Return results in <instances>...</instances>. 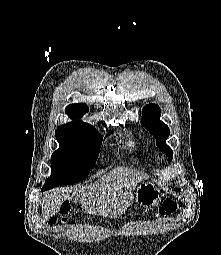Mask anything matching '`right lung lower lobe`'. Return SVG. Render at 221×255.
<instances>
[{
  "label": "right lung lower lobe",
  "instance_id": "obj_1",
  "mask_svg": "<svg viewBox=\"0 0 221 255\" xmlns=\"http://www.w3.org/2000/svg\"><path fill=\"white\" fill-rule=\"evenodd\" d=\"M49 189H51V188H49V187H43V188H42V191L49 190Z\"/></svg>",
  "mask_w": 221,
  "mask_h": 255
}]
</instances>
